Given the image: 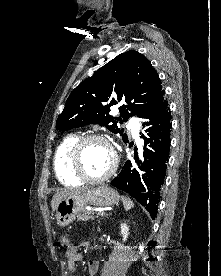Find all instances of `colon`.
Masks as SVG:
<instances>
[{
    "label": "colon",
    "instance_id": "obj_1",
    "mask_svg": "<svg viewBox=\"0 0 221 276\" xmlns=\"http://www.w3.org/2000/svg\"><path fill=\"white\" fill-rule=\"evenodd\" d=\"M56 246H58L60 248H67V249H69L72 246V244H71L70 240L66 236L62 235V236H60V237L57 238V240H56Z\"/></svg>",
    "mask_w": 221,
    "mask_h": 276
}]
</instances>
